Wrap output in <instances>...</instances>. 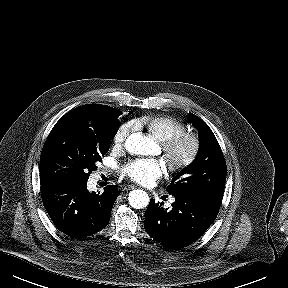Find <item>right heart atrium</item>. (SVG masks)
<instances>
[{
    "label": "right heart atrium",
    "instance_id": "1",
    "mask_svg": "<svg viewBox=\"0 0 288 288\" xmlns=\"http://www.w3.org/2000/svg\"><path fill=\"white\" fill-rule=\"evenodd\" d=\"M132 129L133 125L131 123L122 124L114 134V145L117 147H122Z\"/></svg>",
    "mask_w": 288,
    "mask_h": 288
}]
</instances>
